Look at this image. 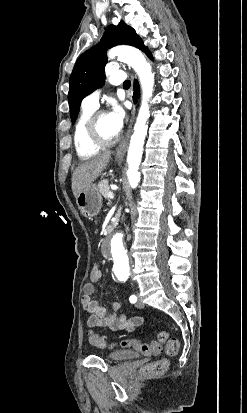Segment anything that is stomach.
Segmentation results:
<instances>
[{"label": "stomach", "mask_w": 247, "mask_h": 413, "mask_svg": "<svg viewBox=\"0 0 247 413\" xmlns=\"http://www.w3.org/2000/svg\"><path fill=\"white\" fill-rule=\"evenodd\" d=\"M117 160H122L123 156H116ZM102 196L96 184H89L85 190L76 196V202L83 217H95L102 207Z\"/></svg>", "instance_id": "0dacf381"}]
</instances>
